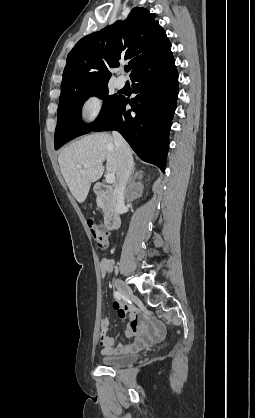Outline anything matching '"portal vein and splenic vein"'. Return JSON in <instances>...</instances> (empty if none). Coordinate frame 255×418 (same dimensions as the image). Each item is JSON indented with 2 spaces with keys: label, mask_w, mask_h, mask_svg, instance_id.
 Segmentation results:
<instances>
[{
  "label": "portal vein and splenic vein",
  "mask_w": 255,
  "mask_h": 418,
  "mask_svg": "<svg viewBox=\"0 0 255 418\" xmlns=\"http://www.w3.org/2000/svg\"><path fill=\"white\" fill-rule=\"evenodd\" d=\"M77 167H78V168H81V166H80V165H78ZM105 178H106V182H107L108 184H112V183H114V182H115V175H114V174H112V173H108V174L105 176Z\"/></svg>",
  "instance_id": "portal-vein-and-splenic-vein-1"
}]
</instances>
